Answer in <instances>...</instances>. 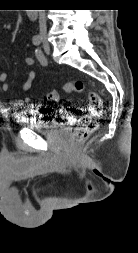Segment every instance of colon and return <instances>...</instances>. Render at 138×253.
<instances>
[{"label": "colon", "mask_w": 138, "mask_h": 253, "mask_svg": "<svg viewBox=\"0 0 138 253\" xmlns=\"http://www.w3.org/2000/svg\"><path fill=\"white\" fill-rule=\"evenodd\" d=\"M62 91L64 93H87L89 100L88 111L78 121V125L72 134L74 143L85 141L98 127V117L102 113V98L95 92L89 91L81 80L66 83ZM60 94L57 90L50 91L44 97L47 101L59 100Z\"/></svg>", "instance_id": "1"}]
</instances>
